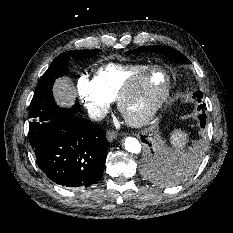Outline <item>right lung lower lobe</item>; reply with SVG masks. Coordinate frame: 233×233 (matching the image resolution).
I'll use <instances>...</instances> for the list:
<instances>
[{"label": "right lung lower lobe", "mask_w": 233, "mask_h": 233, "mask_svg": "<svg viewBox=\"0 0 233 233\" xmlns=\"http://www.w3.org/2000/svg\"><path fill=\"white\" fill-rule=\"evenodd\" d=\"M77 110L55 114L34 150L38 166L50 180L87 188L102 176L109 143L103 129L75 116Z\"/></svg>", "instance_id": "right-lung-lower-lobe-1"}]
</instances>
